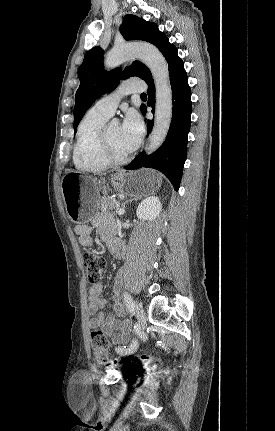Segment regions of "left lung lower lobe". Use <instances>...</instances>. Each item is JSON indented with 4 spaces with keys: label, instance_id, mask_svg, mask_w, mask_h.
<instances>
[{
    "label": "left lung lower lobe",
    "instance_id": "0a47b994",
    "mask_svg": "<svg viewBox=\"0 0 275 431\" xmlns=\"http://www.w3.org/2000/svg\"><path fill=\"white\" fill-rule=\"evenodd\" d=\"M169 66L170 82L173 94L172 121L168 135L162 146L152 155L140 153L125 169L153 168L161 171L179 189L183 167L187 155L188 133L191 123V91L182 59L177 49L172 46L166 55ZM148 84V106L155 108V86L153 79ZM142 113L145 115L146 106ZM153 127V121H147V132Z\"/></svg>",
    "mask_w": 275,
    "mask_h": 431
}]
</instances>
